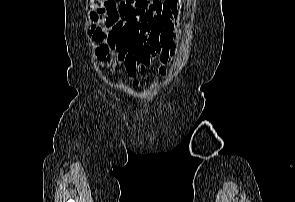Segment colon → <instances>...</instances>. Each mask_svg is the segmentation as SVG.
<instances>
[{
    "instance_id": "obj_1",
    "label": "colon",
    "mask_w": 295,
    "mask_h": 202,
    "mask_svg": "<svg viewBox=\"0 0 295 202\" xmlns=\"http://www.w3.org/2000/svg\"><path fill=\"white\" fill-rule=\"evenodd\" d=\"M135 0H109L104 4V8L108 11L109 14H113L115 10H119L121 14H124L130 10V4ZM99 38L103 36L98 35Z\"/></svg>"
}]
</instances>
